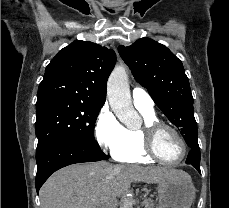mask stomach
Here are the masks:
<instances>
[{"mask_svg":"<svg viewBox=\"0 0 229 208\" xmlns=\"http://www.w3.org/2000/svg\"><path fill=\"white\" fill-rule=\"evenodd\" d=\"M156 190L159 208H191L196 192L190 176L159 180Z\"/></svg>","mask_w":229,"mask_h":208,"instance_id":"0dacf381","label":"stomach"}]
</instances>
